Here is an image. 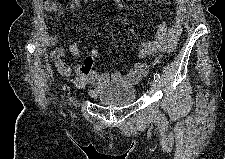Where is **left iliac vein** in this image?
<instances>
[{"label": "left iliac vein", "mask_w": 225, "mask_h": 159, "mask_svg": "<svg viewBox=\"0 0 225 159\" xmlns=\"http://www.w3.org/2000/svg\"><path fill=\"white\" fill-rule=\"evenodd\" d=\"M149 85H150L151 91H154L155 88H156V82L154 80H151L150 83H149Z\"/></svg>", "instance_id": "left-iliac-vein-1"}]
</instances>
